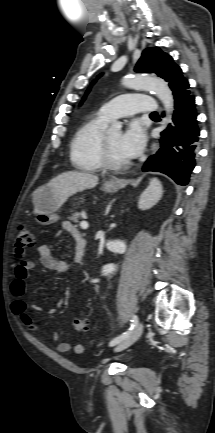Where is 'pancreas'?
I'll return each mask as SVG.
<instances>
[{
  "instance_id": "1",
  "label": "pancreas",
  "mask_w": 215,
  "mask_h": 433,
  "mask_svg": "<svg viewBox=\"0 0 215 433\" xmlns=\"http://www.w3.org/2000/svg\"><path fill=\"white\" fill-rule=\"evenodd\" d=\"M80 217H81V214L78 212H75L74 214H72V216L68 217V219L77 224L79 222Z\"/></svg>"
}]
</instances>
